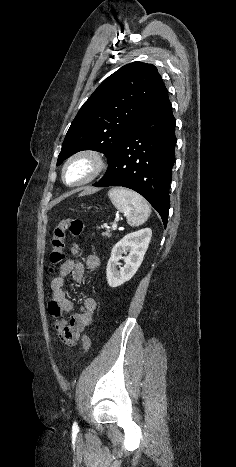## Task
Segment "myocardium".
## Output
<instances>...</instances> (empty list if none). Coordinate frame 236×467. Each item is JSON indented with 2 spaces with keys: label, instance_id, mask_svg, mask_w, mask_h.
Instances as JSON below:
<instances>
[{
  "label": "myocardium",
  "instance_id": "1",
  "mask_svg": "<svg viewBox=\"0 0 236 467\" xmlns=\"http://www.w3.org/2000/svg\"><path fill=\"white\" fill-rule=\"evenodd\" d=\"M80 158H88L93 162V170L91 174L85 178L82 181L76 182V183H67L65 180V173L67 170V167L75 160L80 159ZM107 166V160L104 154L96 149L92 148H85L81 149L75 153H73L70 157L67 158V160L64 162L63 167H62V181L65 185L69 187H79L86 185L92 181H94L96 178H98L106 169Z\"/></svg>",
  "mask_w": 236,
  "mask_h": 467
}]
</instances>
